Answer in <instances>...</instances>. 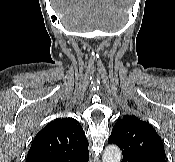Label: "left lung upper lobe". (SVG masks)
<instances>
[{
  "instance_id": "5c2ea615",
  "label": "left lung upper lobe",
  "mask_w": 175,
  "mask_h": 162,
  "mask_svg": "<svg viewBox=\"0 0 175 162\" xmlns=\"http://www.w3.org/2000/svg\"><path fill=\"white\" fill-rule=\"evenodd\" d=\"M108 143L118 145L123 154L122 162H141L158 159L165 162V151L155 129L133 115H125L114 125Z\"/></svg>"
}]
</instances>
